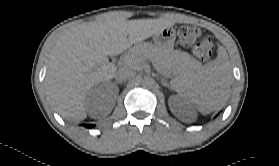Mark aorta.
Segmentation results:
<instances>
[{
    "label": "aorta",
    "instance_id": "1",
    "mask_svg": "<svg viewBox=\"0 0 279 166\" xmlns=\"http://www.w3.org/2000/svg\"><path fill=\"white\" fill-rule=\"evenodd\" d=\"M142 84H143L144 86H152V85L154 84V79L151 78V77L146 76V77H144V79L142 80Z\"/></svg>",
    "mask_w": 279,
    "mask_h": 166
}]
</instances>
